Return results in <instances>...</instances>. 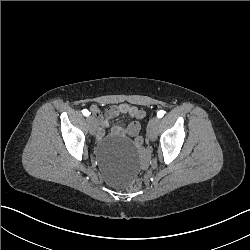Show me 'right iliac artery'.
Masks as SVG:
<instances>
[{
	"label": "right iliac artery",
	"instance_id": "82829eb1",
	"mask_svg": "<svg viewBox=\"0 0 250 250\" xmlns=\"http://www.w3.org/2000/svg\"><path fill=\"white\" fill-rule=\"evenodd\" d=\"M82 113H83L84 116H89L90 115V113H89V111L87 109L82 110Z\"/></svg>",
	"mask_w": 250,
	"mask_h": 250
}]
</instances>
